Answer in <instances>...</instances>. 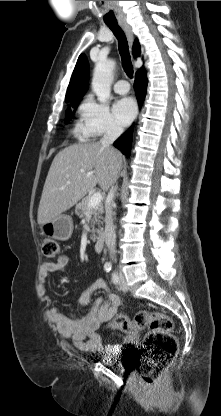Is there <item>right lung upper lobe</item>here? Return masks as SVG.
I'll use <instances>...</instances> for the list:
<instances>
[{
	"mask_svg": "<svg viewBox=\"0 0 221 416\" xmlns=\"http://www.w3.org/2000/svg\"><path fill=\"white\" fill-rule=\"evenodd\" d=\"M141 53V47L138 40L135 41L133 46V55L135 57L139 56ZM88 63L84 54H81L77 60L76 66L74 68L67 93L66 101L74 102L81 100V97L85 93L88 85Z\"/></svg>",
	"mask_w": 221,
	"mask_h": 416,
	"instance_id": "right-lung-upper-lobe-1",
	"label": "right lung upper lobe"
}]
</instances>
